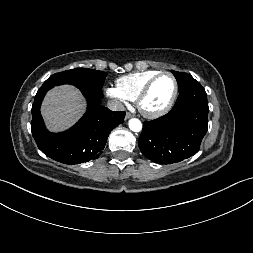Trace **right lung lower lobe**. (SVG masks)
I'll list each match as a JSON object with an SVG mask.
<instances>
[{
  "label": "right lung lower lobe",
  "mask_w": 253,
  "mask_h": 253,
  "mask_svg": "<svg viewBox=\"0 0 253 253\" xmlns=\"http://www.w3.org/2000/svg\"><path fill=\"white\" fill-rule=\"evenodd\" d=\"M52 87L42 85L32 105L31 130L38 148L48 157L75 165L98 157L115 126L124 122L125 112L111 111L101 105L99 97L84 94L88 101L85 115L69 130L50 133L40 114L41 102Z\"/></svg>",
  "instance_id": "right-lung-lower-lobe-1"
}]
</instances>
